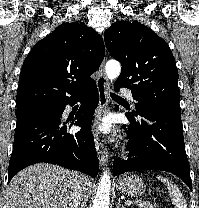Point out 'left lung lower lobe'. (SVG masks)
Segmentation results:
<instances>
[{
	"label": "left lung lower lobe",
	"mask_w": 199,
	"mask_h": 208,
	"mask_svg": "<svg viewBox=\"0 0 199 208\" xmlns=\"http://www.w3.org/2000/svg\"><path fill=\"white\" fill-rule=\"evenodd\" d=\"M121 87L114 86L115 91ZM139 117L126 114L129 126L127 160H116L113 174L144 169L162 170L181 178L192 190L190 166L185 152L181 111L139 107Z\"/></svg>",
	"instance_id": "obj_1"
}]
</instances>
